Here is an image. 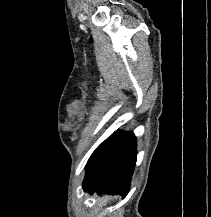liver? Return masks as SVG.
I'll list each match as a JSON object with an SVG mask.
<instances>
[{"mask_svg":"<svg viewBox=\"0 0 211 217\" xmlns=\"http://www.w3.org/2000/svg\"><path fill=\"white\" fill-rule=\"evenodd\" d=\"M107 198H108V197H105V198H104V201H106V200H107Z\"/></svg>","mask_w":211,"mask_h":217,"instance_id":"liver-1","label":"liver"}]
</instances>
